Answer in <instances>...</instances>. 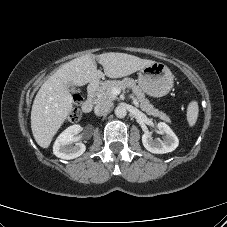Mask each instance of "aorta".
<instances>
[{"mask_svg":"<svg viewBox=\"0 0 227 227\" xmlns=\"http://www.w3.org/2000/svg\"><path fill=\"white\" fill-rule=\"evenodd\" d=\"M127 114V110L124 106H117L115 109V115L118 118H124Z\"/></svg>","mask_w":227,"mask_h":227,"instance_id":"1","label":"aorta"}]
</instances>
